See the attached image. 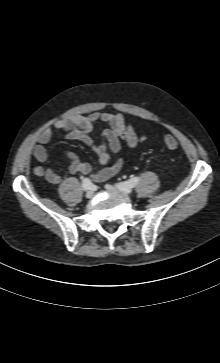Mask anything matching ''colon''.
<instances>
[{
  "mask_svg": "<svg viewBox=\"0 0 220 363\" xmlns=\"http://www.w3.org/2000/svg\"><path fill=\"white\" fill-rule=\"evenodd\" d=\"M164 143H165L166 147L171 150L176 149L177 145H178L176 139L169 134L165 135Z\"/></svg>",
  "mask_w": 220,
  "mask_h": 363,
  "instance_id": "5ec220e1",
  "label": "colon"
}]
</instances>
